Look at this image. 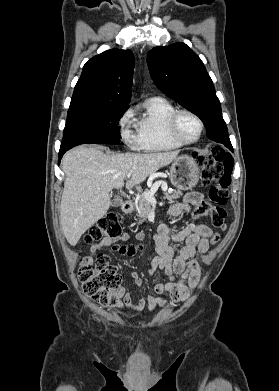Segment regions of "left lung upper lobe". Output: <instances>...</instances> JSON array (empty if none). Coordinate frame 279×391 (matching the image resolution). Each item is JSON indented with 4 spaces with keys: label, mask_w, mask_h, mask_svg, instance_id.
Segmentation results:
<instances>
[{
    "label": "left lung upper lobe",
    "mask_w": 279,
    "mask_h": 391,
    "mask_svg": "<svg viewBox=\"0 0 279 391\" xmlns=\"http://www.w3.org/2000/svg\"><path fill=\"white\" fill-rule=\"evenodd\" d=\"M148 67L156 86L196 114L209 139L232 148L220 101L201 59L184 43L156 47L148 52Z\"/></svg>",
    "instance_id": "obj_1"
}]
</instances>
